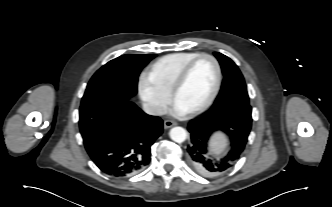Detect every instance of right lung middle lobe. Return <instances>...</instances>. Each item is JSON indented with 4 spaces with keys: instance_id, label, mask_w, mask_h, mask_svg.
Here are the masks:
<instances>
[{
    "instance_id": "right-lung-middle-lobe-1",
    "label": "right lung middle lobe",
    "mask_w": 332,
    "mask_h": 207,
    "mask_svg": "<svg viewBox=\"0 0 332 207\" xmlns=\"http://www.w3.org/2000/svg\"><path fill=\"white\" fill-rule=\"evenodd\" d=\"M154 54H128L102 66L89 81L81 105L117 96L130 99L137 93L138 76Z\"/></svg>"
}]
</instances>
